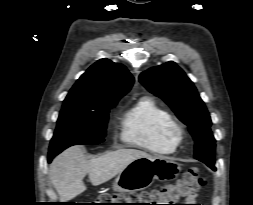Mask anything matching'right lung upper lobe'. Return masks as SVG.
Wrapping results in <instances>:
<instances>
[{"label":"right lung upper lobe","mask_w":253,"mask_h":205,"mask_svg":"<svg viewBox=\"0 0 253 205\" xmlns=\"http://www.w3.org/2000/svg\"><path fill=\"white\" fill-rule=\"evenodd\" d=\"M134 78L125 66L108 59L93 64L74 84L63 106H98L120 99L130 89Z\"/></svg>","instance_id":"1"}]
</instances>
